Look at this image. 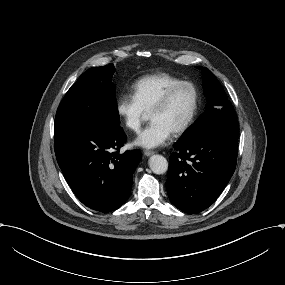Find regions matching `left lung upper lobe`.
I'll return each instance as SVG.
<instances>
[{"label":"left lung upper lobe","mask_w":285,"mask_h":285,"mask_svg":"<svg viewBox=\"0 0 285 285\" xmlns=\"http://www.w3.org/2000/svg\"><path fill=\"white\" fill-rule=\"evenodd\" d=\"M204 80V93L207 98L205 112L197 121L184 133L178 142H188L198 133L221 122L237 120L232 104L215 77V75L205 67H200Z\"/></svg>","instance_id":"left-lung-upper-lobe-1"}]
</instances>
